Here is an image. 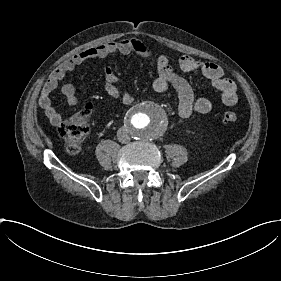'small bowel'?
<instances>
[{"label":"small bowel","mask_w":281,"mask_h":281,"mask_svg":"<svg viewBox=\"0 0 281 281\" xmlns=\"http://www.w3.org/2000/svg\"><path fill=\"white\" fill-rule=\"evenodd\" d=\"M138 53L146 58H154L155 52L140 39L134 37L124 38L114 42H107L100 46L83 50L73 58L64 62L44 84L41 91L40 107L54 127L64 123L61 113L52 105L51 94L59 83L77 66L93 59L116 54ZM178 65L185 72H201L206 75L220 90L221 99L227 106H234L238 102L236 83L224 76L223 70L212 62H200L190 55L179 59ZM157 77L152 82V87L157 92H166L172 86L177 92V108L179 115L186 119L192 113H206L211 110V102L205 97H194L190 83L180 76L173 68L168 57L161 56L156 65ZM105 90L114 99L122 96L124 104H130L133 96L124 90V85L116 71L110 67L103 68ZM62 93L67 103L74 107L78 104L76 89L72 84H65Z\"/></svg>","instance_id":"obj_1"}]
</instances>
